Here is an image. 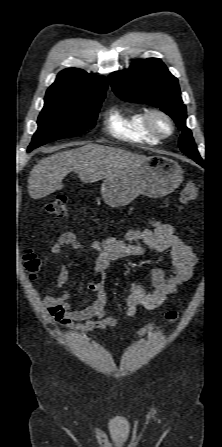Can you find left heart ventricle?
Listing matches in <instances>:
<instances>
[{
  "label": "left heart ventricle",
  "mask_w": 222,
  "mask_h": 447,
  "mask_svg": "<svg viewBox=\"0 0 222 447\" xmlns=\"http://www.w3.org/2000/svg\"><path fill=\"white\" fill-rule=\"evenodd\" d=\"M157 127L163 131V132H167L168 131V125L164 120L158 119L157 122Z\"/></svg>",
  "instance_id": "obj_1"
}]
</instances>
